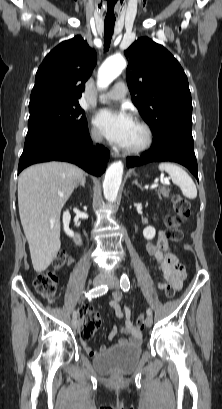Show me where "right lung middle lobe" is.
<instances>
[{
	"mask_svg": "<svg viewBox=\"0 0 222 409\" xmlns=\"http://www.w3.org/2000/svg\"><path fill=\"white\" fill-rule=\"evenodd\" d=\"M24 149L38 143L73 146L87 132V120L79 102L47 103L29 108Z\"/></svg>",
	"mask_w": 222,
	"mask_h": 409,
	"instance_id": "dd1d6c3e",
	"label": "right lung middle lobe"
}]
</instances>
